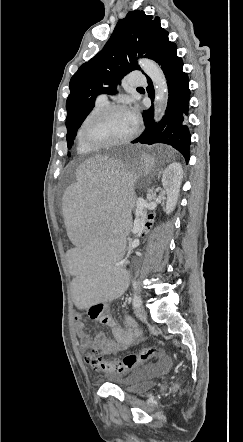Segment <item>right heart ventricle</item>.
<instances>
[{
  "label": "right heart ventricle",
  "instance_id": "obj_1",
  "mask_svg": "<svg viewBox=\"0 0 243 442\" xmlns=\"http://www.w3.org/2000/svg\"><path fill=\"white\" fill-rule=\"evenodd\" d=\"M105 106H107V104L105 102H100V101H96L93 105V107L91 108V110L88 112V114L86 115V117L84 118V120L82 121V123L80 124L78 130H77V134H76V150L78 153L80 154H86V153H90L92 151V149H90L89 147H87L81 140L80 138V131H81V127L83 122L92 114H94L95 112H97L98 110L104 108Z\"/></svg>",
  "mask_w": 243,
  "mask_h": 442
}]
</instances>
